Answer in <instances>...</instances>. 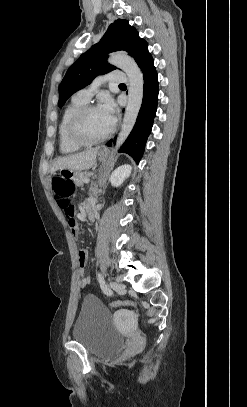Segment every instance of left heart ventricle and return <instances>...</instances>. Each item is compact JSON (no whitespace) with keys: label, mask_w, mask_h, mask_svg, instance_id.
<instances>
[{"label":"left heart ventricle","mask_w":247,"mask_h":407,"mask_svg":"<svg viewBox=\"0 0 247 407\" xmlns=\"http://www.w3.org/2000/svg\"><path fill=\"white\" fill-rule=\"evenodd\" d=\"M111 127L99 108L88 112L81 124L82 133L89 139L102 137Z\"/></svg>","instance_id":"b2bd125f"}]
</instances>
